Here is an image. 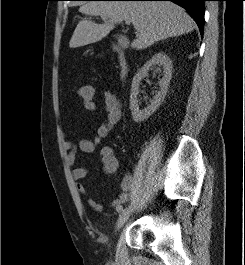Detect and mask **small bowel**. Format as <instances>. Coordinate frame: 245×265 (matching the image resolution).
Returning a JSON list of instances; mask_svg holds the SVG:
<instances>
[{"label": "small bowel", "mask_w": 245, "mask_h": 265, "mask_svg": "<svg viewBox=\"0 0 245 265\" xmlns=\"http://www.w3.org/2000/svg\"><path fill=\"white\" fill-rule=\"evenodd\" d=\"M104 108L106 114V120L99 126L93 138H83L78 143L72 141L64 142V149L67 154V162L70 166H73L76 161L78 150L85 153H91L95 150L97 144L105 139L113 128L118 124L122 116V104L116 94L111 91L104 92ZM85 110L89 112H95L97 110L96 103L94 101L83 103ZM100 157L103 164V168L106 174H112L118 169L119 163L111 147L105 146L100 151ZM88 170L84 166L75 167L72 170V176L76 181H80L86 178ZM134 188V178L130 173H127L120 183V193L115 200L111 203L112 207H117L126 203ZM77 191L83 195H87L85 186L77 182ZM88 205L95 212H102L103 205L97 202L93 198H87Z\"/></svg>", "instance_id": "1"}]
</instances>
